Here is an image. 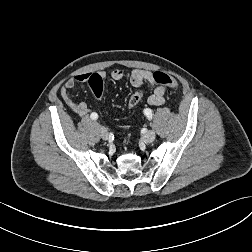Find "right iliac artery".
<instances>
[{
	"label": "right iliac artery",
	"instance_id": "82829eb1",
	"mask_svg": "<svg viewBox=\"0 0 252 252\" xmlns=\"http://www.w3.org/2000/svg\"><path fill=\"white\" fill-rule=\"evenodd\" d=\"M90 117H91L92 120H97L98 119V114L94 112V113H92L90 115Z\"/></svg>",
	"mask_w": 252,
	"mask_h": 252
}]
</instances>
